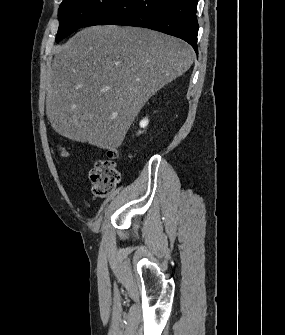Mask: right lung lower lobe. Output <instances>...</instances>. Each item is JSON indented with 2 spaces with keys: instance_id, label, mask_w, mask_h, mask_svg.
Segmentation results:
<instances>
[{
  "instance_id": "1",
  "label": "right lung lower lobe",
  "mask_w": 285,
  "mask_h": 335,
  "mask_svg": "<svg viewBox=\"0 0 285 335\" xmlns=\"http://www.w3.org/2000/svg\"><path fill=\"white\" fill-rule=\"evenodd\" d=\"M198 0H115L83 26L144 27L188 42L198 53Z\"/></svg>"
}]
</instances>
